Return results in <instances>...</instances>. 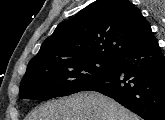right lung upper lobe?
<instances>
[{
	"mask_svg": "<svg viewBox=\"0 0 165 120\" xmlns=\"http://www.w3.org/2000/svg\"><path fill=\"white\" fill-rule=\"evenodd\" d=\"M152 37L149 23L130 1L97 0L61 22L27 67L74 58L115 61Z\"/></svg>",
	"mask_w": 165,
	"mask_h": 120,
	"instance_id": "1",
	"label": "right lung upper lobe"
}]
</instances>
